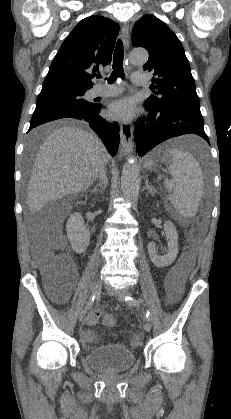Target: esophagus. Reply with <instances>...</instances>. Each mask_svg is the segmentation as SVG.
Here are the masks:
<instances>
[{
    "instance_id": "1",
    "label": "esophagus",
    "mask_w": 231,
    "mask_h": 419,
    "mask_svg": "<svg viewBox=\"0 0 231 419\" xmlns=\"http://www.w3.org/2000/svg\"><path fill=\"white\" fill-rule=\"evenodd\" d=\"M121 37L126 48L129 47V28L124 24L121 28ZM120 152L127 155L133 150V127L130 122H122L120 125Z\"/></svg>"
}]
</instances>
